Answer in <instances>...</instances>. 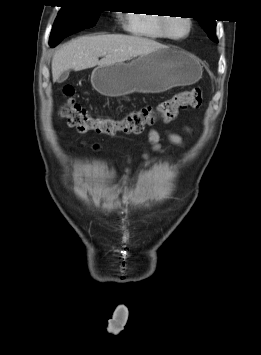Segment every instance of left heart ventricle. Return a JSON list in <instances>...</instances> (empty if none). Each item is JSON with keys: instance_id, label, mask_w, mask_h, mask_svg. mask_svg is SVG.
<instances>
[{"instance_id": "1", "label": "left heart ventricle", "mask_w": 261, "mask_h": 355, "mask_svg": "<svg viewBox=\"0 0 261 355\" xmlns=\"http://www.w3.org/2000/svg\"><path fill=\"white\" fill-rule=\"evenodd\" d=\"M188 25L184 19L175 18L170 23V32L174 36H183L187 33Z\"/></svg>"}]
</instances>
